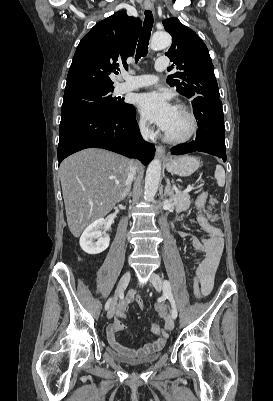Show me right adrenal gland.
<instances>
[{
    "mask_svg": "<svg viewBox=\"0 0 273 401\" xmlns=\"http://www.w3.org/2000/svg\"><path fill=\"white\" fill-rule=\"evenodd\" d=\"M130 188H131L130 184H126V188L121 196V201H123V198H125V196H127L128 192H130Z\"/></svg>",
    "mask_w": 273,
    "mask_h": 401,
    "instance_id": "2a0ac1e0",
    "label": "right adrenal gland"
}]
</instances>
